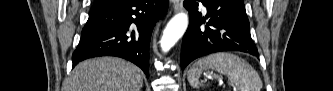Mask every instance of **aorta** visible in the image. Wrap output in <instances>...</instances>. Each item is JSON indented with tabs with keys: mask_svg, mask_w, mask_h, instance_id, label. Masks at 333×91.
Instances as JSON below:
<instances>
[{
	"mask_svg": "<svg viewBox=\"0 0 333 91\" xmlns=\"http://www.w3.org/2000/svg\"><path fill=\"white\" fill-rule=\"evenodd\" d=\"M188 26V16L181 12L176 14L167 24L161 37V49L163 52H168L176 42L185 33Z\"/></svg>",
	"mask_w": 333,
	"mask_h": 91,
	"instance_id": "762f6f07",
	"label": "aorta"
}]
</instances>
